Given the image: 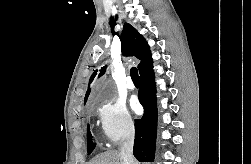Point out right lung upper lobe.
<instances>
[{
  "label": "right lung upper lobe",
  "mask_w": 251,
  "mask_h": 164,
  "mask_svg": "<svg viewBox=\"0 0 251 164\" xmlns=\"http://www.w3.org/2000/svg\"><path fill=\"white\" fill-rule=\"evenodd\" d=\"M122 52L125 56H134L140 60L138 65L139 73L152 66L153 61L151 58V52L146 40L141 34L137 32L130 24H125L122 32ZM106 66L101 68L99 77L104 74ZM97 71H95L90 79V82L95 78ZM90 94V88H88L85 95V102Z\"/></svg>",
  "instance_id": "cb5924a9"
}]
</instances>
